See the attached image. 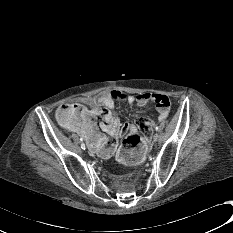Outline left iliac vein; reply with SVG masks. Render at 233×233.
Wrapping results in <instances>:
<instances>
[{
    "label": "left iliac vein",
    "instance_id": "obj_1",
    "mask_svg": "<svg viewBox=\"0 0 233 233\" xmlns=\"http://www.w3.org/2000/svg\"><path fill=\"white\" fill-rule=\"evenodd\" d=\"M158 138H159L158 133H155V134L153 135V142H156V141L158 140Z\"/></svg>",
    "mask_w": 233,
    "mask_h": 233
}]
</instances>
